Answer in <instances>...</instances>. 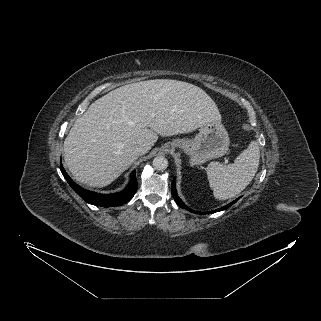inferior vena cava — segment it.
Wrapping results in <instances>:
<instances>
[{"label": "inferior vena cava", "instance_id": "602c4592", "mask_svg": "<svg viewBox=\"0 0 321 321\" xmlns=\"http://www.w3.org/2000/svg\"><path fill=\"white\" fill-rule=\"evenodd\" d=\"M150 150V147L146 144H138L133 147V153L137 156L146 154Z\"/></svg>", "mask_w": 321, "mask_h": 321}]
</instances>
